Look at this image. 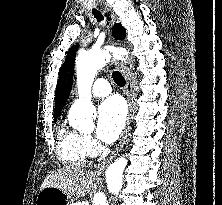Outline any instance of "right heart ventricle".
I'll use <instances>...</instances> for the list:
<instances>
[{"label": "right heart ventricle", "instance_id": "e07e8e85", "mask_svg": "<svg viewBox=\"0 0 222 205\" xmlns=\"http://www.w3.org/2000/svg\"><path fill=\"white\" fill-rule=\"evenodd\" d=\"M56 153L59 161L69 167L84 165L90 156L85 147L84 136L65 124L58 129Z\"/></svg>", "mask_w": 222, "mask_h": 205}]
</instances>
